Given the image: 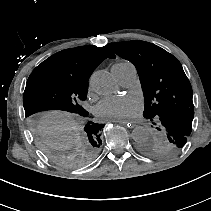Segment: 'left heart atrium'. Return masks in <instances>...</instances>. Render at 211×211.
<instances>
[{"instance_id": "obj_1", "label": "left heart atrium", "mask_w": 211, "mask_h": 211, "mask_svg": "<svg viewBox=\"0 0 211 211\" xmlns=\"http://www.w3.org/2000/svg\"><path fill=\"white\" fill-rule=\"evenodd\" d=\"M143 105L133 94L106 96L95 107L96 116L105 121L121 120L138 116Z\"/></svg>"}]
</instances>
